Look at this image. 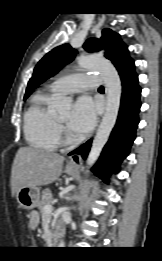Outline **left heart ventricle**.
Returning a JSON list of instances; mask_svg holds the SVG:
<instances>
[{
    "label": "left heart ventricle",
    "instance_id": "obj_1",
    "mask_svg": "<svg viewBox=\"0 0 162 261\" xmlns=\"http://www.w3.org/2000/svg\"><path fill=\"white\" fill-rule=\"evenodd\" d=\"M57 118L64 124L68 123L69 119H70V114L66 113V114H61L58 115Z\"/></svg>",
    "mask_w": 162,
    "mask_h": 261
}]
</instances>
